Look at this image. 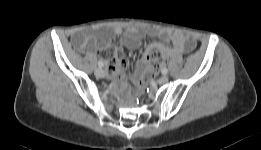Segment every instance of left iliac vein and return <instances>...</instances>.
<instances>
[{
  "label": "left iliac vein",
  "instance_id": "4c4485c4",
  "mask_svg": "<svg viewBox=\"0 0 261 150\" xmlns=\"http://www.w3.org/2000/svg\"><path fill=\"white\" fill-rule=\"evenodd\" d=\"M168 80H169L168 76H167V75H163V76H161V77L158 79V83H159V84H165V83L168 82Z\"/></svg>",
  "mask_w": 261,
  "mask_h": 150
}]
</instances>
